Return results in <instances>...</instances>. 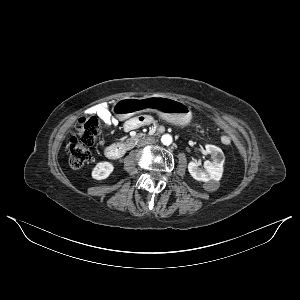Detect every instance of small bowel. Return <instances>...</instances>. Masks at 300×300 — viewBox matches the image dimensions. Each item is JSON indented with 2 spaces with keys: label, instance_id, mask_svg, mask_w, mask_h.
I'll return each mask as SVG.
<instances>
[{
  "label": "small bowel",
  "instance_id": "obj_1",
  "mask_svg": "<svg viewBox=\"0 0 300 300\" xmlns=\"http://www.w3.org/2000/svg\"><path fill=\"white\" fill-rule=\"evenodd\" d=\"M89 112L91 114L98 115L99 117H102V118L108 120V111L105 108H103L102 106H94L89 110ZM145 121L146 120H141L140 118L131 119L127 123V128L134 129V128L140 127L145 123ZM222 140H223V143H225V144L229 143V141H230L228 137H223Z\"/></svg>",
  "mask_w": 300,
  "mask_h": 300
}]
</instances>
